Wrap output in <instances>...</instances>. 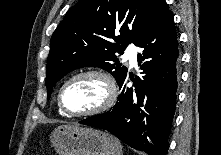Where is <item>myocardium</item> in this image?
<instances>
[{"label":"myocardium","mask_w":221,"mask_h":155,"mask_svg":"<svg viewBox=\"0 0 221 155\" xmlns=\"http://www.w3.org/2000/svg\"><path fill=\"white\" fill-rule=\"evenodd\" d=\"M83 77H96L100 79L105 87V97L104 100L100 105L97 107L84 111V112H72L69 111L64 103H63V92L65 88L73 81L83 78ZM117 98V89L115 82L113 78L105 71L100 70V69H85L81 70L72 76H70L67 80L64 81V83L61 85L58 95H57V102H58V107L59 109L67 116L70 117H91V116H96L99 114H102L109 110L115 103Z\"/></svg>","instance_id":"f54148a6"}]
</instances>
